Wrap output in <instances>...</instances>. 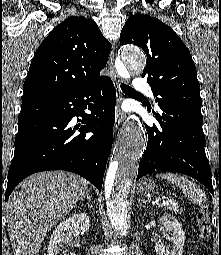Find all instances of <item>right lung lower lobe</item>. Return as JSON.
Returning <instances> with one entry per match:
<instances>
[{
    "instance_id": "obj_1",
    "label": "right lung lower lobe",
    "mask_w": 221,
    "mask_h": 255,
    "mask_svg": "<svg viewBox=\"0 0 221 255\" xmlns=\"http://www.w3.org/2000/svg\"><path fill=\"white\" fill-rule=\"evenodd\" d=\"M115 99L113 82L103 77L72 92L23 102L5 201L24 178L49 170L77 173L101 191L113 141ZM75 116L85 126L73 127Z\"/></svg>"
}]
</instances>
